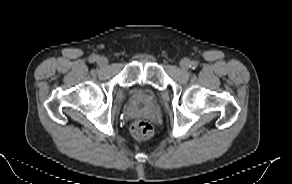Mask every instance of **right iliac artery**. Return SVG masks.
Returning <instances> with one entry per match:
<instances>
[{
    "mask_svg": "<svg viewBox=\"0 0 292 184\" xmlns=\"http://www.w3.org/2000/svg\"><path fill=\"white\" fill-rule=\"evenodd\" d=\"M96 59H97L96 56H91V57L89 58V61H90L91 63H93V62L96 61Z\"/></svg>",
    "mask_w": 292,
    "mask_h": 184,
    "instance_id": "1",
    "label": "right iliac artery"
}]
</instances>
